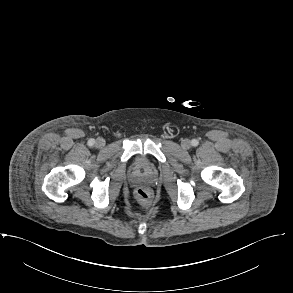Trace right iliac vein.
I'll return each mask as SVG.
<instances>
[{
	"label": "right iliac vein",
	"mask_w": 293,
	"mask_h": 293,
	"mask_svg": "<svg viewBox=\"0 0 293 293\" xmlns=\"http://www.w3.org/2000/svg\"><path fill=\"white\" fill-rule=\"evenodd\" d=\"M95 146L98 148H102L105 146V140L103 138H98L95 142Z\"/></svg>",
	"instance_id": "63e3f726"
}]
</instances>
